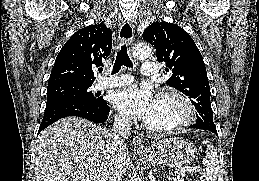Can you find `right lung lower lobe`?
Segmentation results:
<instances>
[{
    "instance_id": "98d812e1",
    "label": "right lung lower lobe",
    "mask_w": 259,
    "mask_h": 181,
    "mask_svg": "<svg viewBox=\"0 0 259 181\" xmlns=\"http://www.w3.org/2000/svg\"><path fill=\"white\" fill-rule=\"evenodd\" d=\"M109 111L110 108L105 100L97 104L86 101H63L45 109L38 134L47 126L68 116H78L94 123H103L108 119Z\"/></svg>"
}]
</instances>
